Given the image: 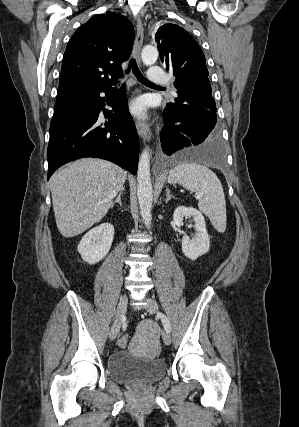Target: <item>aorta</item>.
<instances>
[{"instance_id": "1", "label": "aorta", "mask_w": 299, "mask_h": 427, "mask_svg": "<svg viewBox=\"0 0 299 427\" xmlns=\"http://www.w3.org/2000/svg\"><path fill=\"white\" fill-rule=\"evenodd\" d=\"M141 58L145 65H153L158 59V50L154 46H145L141 52ZM137 196L140 213L147 228L151 227L153 190L150 177V153L145 148L139 158L137 171Z\"/></svg>"}]
</instances>
